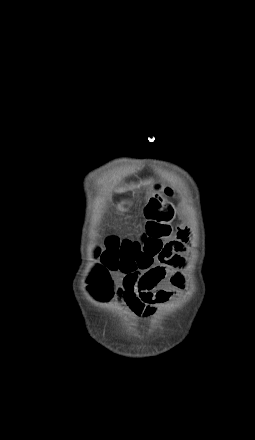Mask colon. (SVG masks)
<instances>
[{
    "label": "colon",
    "mask_w": 255,
    "mask_h": 440,
    "mask_svg": "<svg viewBox=\"0 0 255 440\" xmlns=\"http://www.w3.org/2000/svg\"><path fill=\"white\" fill-rule=\"evenodd\" d=\"M171 193L170 189L164 188L150 195L144 207V231L138 238L108 237L104 249L97 252L103 268L95 273L89 289L100 300H106L108 293L106 271L130 273L144 270L151 267L155 259L160 260L165 256L167 243L163 239L171 235V222L175 217V209L167 200Z\"/></svg>",
    "instance_id": "1"
}]
</instances>
